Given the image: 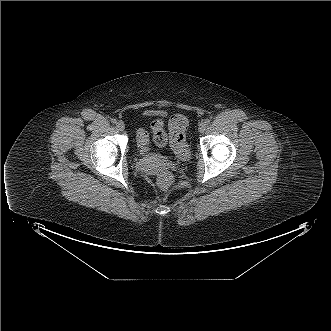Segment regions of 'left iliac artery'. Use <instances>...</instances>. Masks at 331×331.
<instances>
[{
    "mask_svg": "<svg viewBox=\"0 0 331 331\" xmlns=\"http://www.w3.org/2000/svg\"><path fill=\"white\" fill-rule=\"evenodd\" d=\"M204 123H205L206 125L210 124V119H205Z\"/></svg>",
    "mask_w": 331,
    "mask_h": 331,
    "instance_id": "obj_1",
    "label": "left iliac artery"
}]
</instances>
